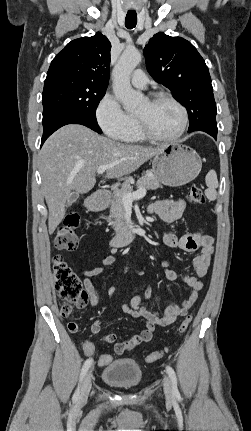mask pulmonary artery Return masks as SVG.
I'll return each instance as SVG.
<instances>
[{
    "label": "pulmonary artery",
    "mask_w": 251,
    "mask_h": 431,
    "mask_svg": "<svg viewBox=\"0 0 251 431\" xmlns=\"http://www.w3.org/2000/svg\"><path fill=\"white\" fill-rule=\"evenodd\" d=\"M131 83L137 88H146L148 84V77L142 70H135L131 76Z\"/></svg>",
    "instance_id": "1"
}]
</instances>
